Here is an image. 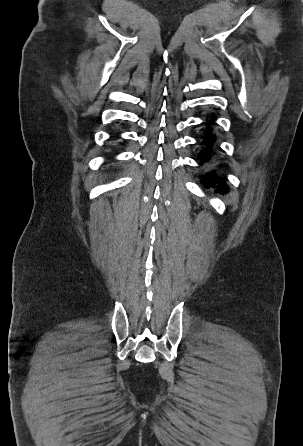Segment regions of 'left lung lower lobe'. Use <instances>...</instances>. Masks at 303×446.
I'll return each mask as SVG.
<instances>
[{
    "label": "left lung lower lobe",
    "mask_w": 303,
    "mask_h": 446,
    "mask_svg": "<svg viewBox=\"0 0 303 446\" xmlns=\"http://www.w3.org/2000/svg\"><path fill=\"white\" fill-rule=\"evenodd\" d=\"M208 129L211 130V128H208ZM205 135H207L205 138V141H203L205 148L203 149L202 154L198 155L201 162H208L211 159L213 143L215 140L214 135L210 134V132H208V131L205 132ZM201 181L206 188L217 186L218 191H220V192L225 191V185H226L225 179L220 177L215 171H210V172L206 173L202 177Z\"/></svg>",
    "instance_id": "1"
}]
</instances>
